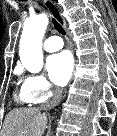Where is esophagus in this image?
Here are the masks:
<instances>
[{"label":"esophagus","instance_id":"obj_1","mask_svg":"<svg viewBox=\"0 0 117 136\" xmlns=\"http://www.w3.org/2000/svg\"><path fill=\"white\" fill-rule=\"evenodd\" d=\"M43 4L54 17V19L66 28V21L63 18L57 5L52 0H44Z\"/></svg>","mask_w":117,"mask_h":136}]
</instances>
